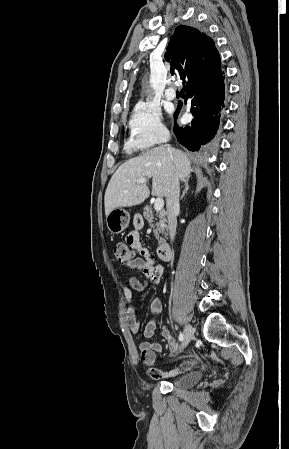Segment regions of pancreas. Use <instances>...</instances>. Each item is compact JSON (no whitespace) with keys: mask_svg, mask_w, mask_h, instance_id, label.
<instances>
[{"mask_svg":"<svg viewBox=\"0 0 289 449\" xmlns=\"http://www.w3.org/2000/svg\"><path fill=\"white\" fill-rule=\"evenodd\" d=\"M143 216L151 226H153V222L155 220L153 232L155 234L156 239L159 241V244L164 243L166 240L162 236H160V234L161 235L165 234V230L167 229L166 212L157 211L156 217L159 219L157 221V218L154 216L151 209L148 206H146L144 208Z\"/></svg>","mask_w":289,"mask_h":449,"instance_id":"obj_1","label":"pancreas"}]
</instances>
